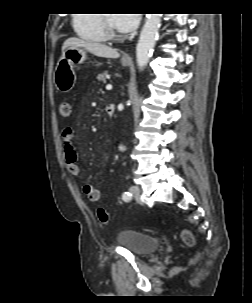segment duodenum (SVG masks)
<instances>
[{
  "mask_svg": "<svg viewBox=\"0 0 252 303\" xmlns=\"http://www.w3.org/2000/svg\"><path fill=\"white\" fill-rule=\"evenodd\" d=\"M115 111V107L112 104H109L105 108V112L107 116L112 117Z\"/></svg>",
  "mask_w": 252,
  "mask_h": 303,
  "instance_id": "410a0bca",
  "label": "duodenum"
}]
</instances>
